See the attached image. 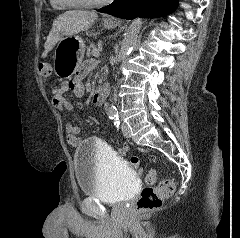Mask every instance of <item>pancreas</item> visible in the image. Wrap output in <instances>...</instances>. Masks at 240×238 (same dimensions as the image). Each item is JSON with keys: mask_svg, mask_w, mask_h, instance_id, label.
<instances>
[{"mask_svg": "<svg viewBox=\"0 0 240 238\" xmlns=\"http://www.w3.org/2000/svg\"><path fill=\"white\" fill-rule=\"evenodd\" d=\"M96 46L94 43H91L89 47H87V55H94L95 51H96Z\"/></svg>", "mask_w": 240, "mask_h": 238, "instance_id": "1", "label": "pancreas"}]
</instances>
